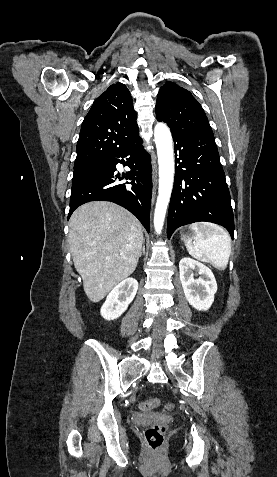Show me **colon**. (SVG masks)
I'll return each instance as SVG.
<instances>
[{"label": "colon", "mask_w": 277, "mask_h": 477, "mask_svg": "<svg viewBox=\"0 0 277 477\" xmlns=\"http://www.w3.org/2000/svg\"><path fill=\"white\" fill-rule=\"evenodd\" d=\"M159 405H160V400L155 398V399H150V400L142 402L140 404V408L143 411H148ZM170 407L171 405L168 404V408ZM166 431H167V426L165 424H155L148 427L144 432V437H145L147 446L153 451L159 450L163 445Z\"/></svg>", "instance_id": "5ec220e1"}]
</instances>
